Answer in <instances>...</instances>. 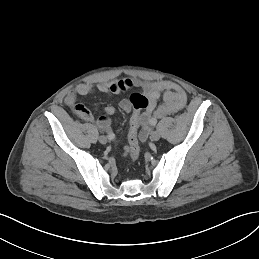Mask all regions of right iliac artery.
Listing matches in <instances>:
<instances>
[{
  "mask_svg": "<svg viewBox=\"0 0 259 259\" xmlns=\"http://www.w3.org/2000/svg\"><path fill=\"white\" fill-rule=\"evenodd\" d=\"M107 138H108L109 140H114V139H115V135H114L113 133H109V134L107 135Z\"/></svg>",
  "mask_w": 259,
  "mask_h": 259,
  "instance_id": "right-iliac-artery-1",
  "label": "right iliac artery"
}]
</instances>
